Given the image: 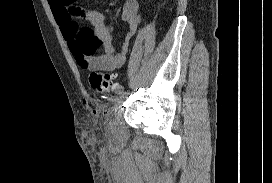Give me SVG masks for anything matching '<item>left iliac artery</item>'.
<instances>
[{
    "instance_id": "1",
    "label": "left iliac artery",
    "mask_w": 272,
    "mask_h": 183,
    "mask_svg": "<svg viewBox=\"0 0 272 183\" xmlns=\"http://www.w3.org/2000/svg\"><path fill=\"white\" fill-rule=\"evenodd\" d=\"M116 93H117V94H122V93H125V91H124V87H123V86L118 87V89H117Z\"/></svg>"
}]
</instances>
